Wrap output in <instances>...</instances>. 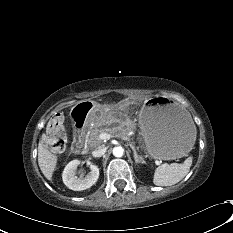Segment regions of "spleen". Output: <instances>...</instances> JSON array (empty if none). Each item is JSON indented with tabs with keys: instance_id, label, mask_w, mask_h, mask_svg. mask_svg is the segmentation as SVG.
Here are the masks:
<instances>
[{
	"instance_id": "3e777b00",
	"label": "spleen",
	"mask_w": 233,
	"mask_h": 233,
	"mask_svg": "<svg viewBox=\"0 0 233 233\" xmlns=\"http://www.w3.org/2000/svg\"><path fill=\"white\" fill-rule=\"evenodd\" d=\"M192 157H188L183 164L171 163L160 165L154 173L153 183L157 186H171L181 181L189 172Z\"/></svg>"
}]
</instances>
